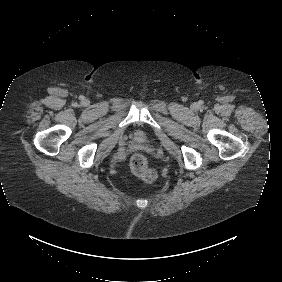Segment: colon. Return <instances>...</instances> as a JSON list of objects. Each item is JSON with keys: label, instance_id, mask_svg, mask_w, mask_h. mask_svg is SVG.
Listing matches in <instances>:
<instances>
[{"label": "colon", "instance_id": "colon-1", "mask_svg": "<svg viewBox=\"0 0 282 282\" xmlns=\"http://www.w3.org/2000/svg\"><path fill=\"white\" fill-rule=\"evenodd\" d=\"M131 168L135 171L138 177L142 180L149 182L155 179V172L149 167L150 159L147 154L138 152L133 155L131 162Z\"/></svg>", "mask_w": 282, "mask_h": 282}]
</instances>
